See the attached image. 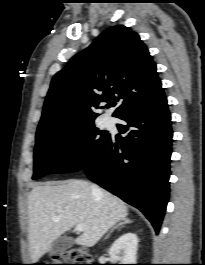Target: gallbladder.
<instances>
[{"mask_svg":"<svg viewBox=\"0 0 205 265\" xmlns=\"http://www.w3.org/2000/svg\"><path fill=\"white\" fill-rule=\"evenodd\" d=\"M74 240L68 236H60L56 238L49 246L48 253L50 256L64 252L72 247Z\"/></svg>","mask_w":205,"mask_h":265,"instance_id":"1","label":"gallbladder"}]
</instances>
